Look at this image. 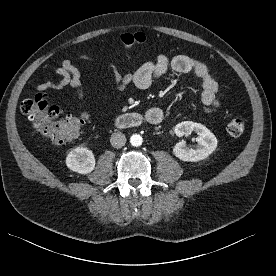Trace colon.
<instances>
[{
	"mask_svg": "<svg viewBox=\"0 0 276 276\" xmlns=\"http://www.w3.org/2000/svg\"><path fill=\"white\" fill-rule=\"evenodd\" d=\"M145 40L143 33H127L120 36V46L129 50L143 44ZM21 111L36 133L55 144H63L76 138L85 123L82 116H62L59 108L49 104L43 92L25 99L21 103ZM245 128L246 120L235 116L229 121L227 132L233 137H239Z\"/></svg>",
	"mask_w": 276,
	"mask_h": 276,
	"instance_id": "5ec220e1",
	"label": "colon"
}]
</instances>
